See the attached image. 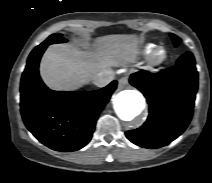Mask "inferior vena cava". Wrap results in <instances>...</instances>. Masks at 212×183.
I'll return each instance as SVG.
<instances>
[{
	"label": "inferior vena cava",
	"instance_id": "obj_1",
	"mask_svg": "<svg viewBox=\"0 0 212 183\" xmlns=\"http://www.w3.org/2000/svg\"><path fill=\"white\" fill-rule=\"evenodd\" d=\"M114 77L113 71L110 70H103L98 72L93 78V84L97 87H105L108 85Z\"/></svg>",
	"mask_w": 212,
	"mask_h": 183
}]
</instances>
